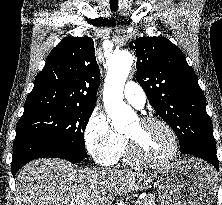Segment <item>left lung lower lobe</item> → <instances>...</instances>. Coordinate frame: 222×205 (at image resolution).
<instances>
[{
	"label": "left lung lower lobe",
	"instance_id": "left-lung-lower-lobe-1",
	"mask_svg": "<svg viewBox=\"0 0 222 205\" xmlns=\"http://www.w3.org/2000/svg\"><path fill=\"white\" fill-rule=\"evenodd\" d=\"M187 155L203 159L207 161L208 163H210L212 166H214L217 171H219V164H218V159L216 155L206 154L202 152H191V153H188Z\"/></svg>",
	"mask_w": 222,
	"mask_h": 205
}]
</instances>
